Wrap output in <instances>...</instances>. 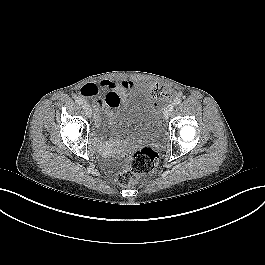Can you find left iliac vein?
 <instances>
[{"mask_svg":"<svg viewBox=\"0 0 265 265\" xmlns=\"http://www.w3.org/2000/svg\"><path fill=\"white\" fill-rule=\"evenodd\" d=\"M174 110V105L169 104L164 110V118L168 119Z\"/></svg>","mask_w":265,"mask_h":265,"instance_id":"obj_1","label":"left iliac vein"}]
</instances>
